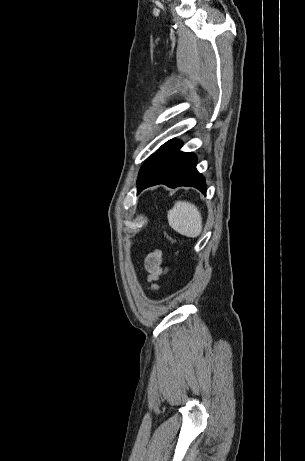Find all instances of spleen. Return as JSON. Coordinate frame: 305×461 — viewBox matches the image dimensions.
I'll return each mask as SVG.
<instances>
[{
  "label": "spleen",
  "instance_id": "obj_1",
  "mask_svg": "<svg viewBox=\"0 0 305 461\" xmlns=\"http://www.w3.org/2000/svg\"><path fill=\"white\" fill-rule=\"evenodd\" d=\"M171 228L181 235L196 238L202 231V217L198 208L186 201H177L167 214Z\"/></svg>",
  "mask_w": 305,
  "mask_h": 461
}]
</instances>
